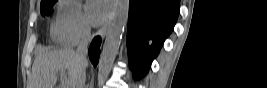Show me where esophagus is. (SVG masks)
<instances>
[{"mask_svg":"<svg viewBox=\"0 0 267 88\" xmlns=\"http://www.w3.org/2000/svg\"><path fill=\"white\" fill-rule=\"evenodd\" d=\"M111 19H107V21L101 26V28L98 30V35H100L102 38L105 37L109 24Z\"/></svg>","mask_w":267,"mask_h":88,"instance_id":"34e87169","label":"esophagus"}]
</instances>
